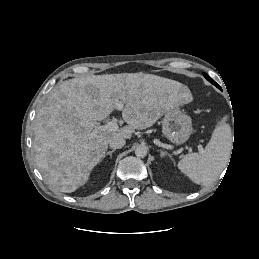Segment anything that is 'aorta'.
Listing matches in <instances>:
<instances>
[{
	"label": "aorta",
	"instance_id": "1",
	"mask_svg": "<svg viewBox=\"0 0 259 259\" xmlns=\"http://www.w3.org/2000/svg\"><path fill=\"white\" fill-rule=\"evenodd\" d=\"M135 155H136V157H138V158H144V157H146V155H147V150H146V148H145V147H142V146L137 147V148L135 149Z\"/></svg>",
	"mask_w": 259,
	"mask_h": 259
}]
</instances>
